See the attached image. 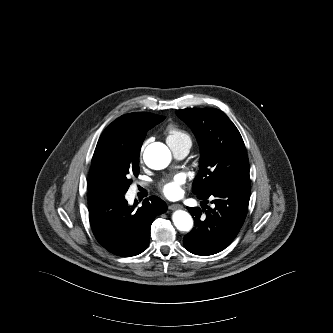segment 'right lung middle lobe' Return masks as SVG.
<instances>
[{
  "label": "right lung middle lobe",
  "instance_id": "1",
  "mask_svg": "<svg viewBox=\"0 0 333 333\" xmlns=\"http://www.w3.org/2000/svg\"><path fill=\"white\" fill-rule=\"evenodd\" d=\"M143 139L122 144H110L100 154L102 171L110 194H124L139 174V154Z\"/></svg>",
  "mask_w": 333,
  "mask_h": 333
}]
</instances>
